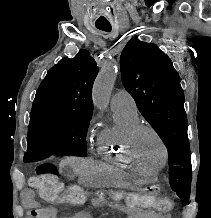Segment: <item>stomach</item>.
Wrapping results in <instances>:
<instances>
[{"mask_svg":"<svg viewBox=\"0 0 211 218\" xmlns=\"http://www.w3.org/2000/svg\"><path fill=\"white\" fill-rule=\"evenodd\" d=\"M81 182L88 187H120L139 192H146L148 185L157 182L155 178H143L136 175L118 174H87L81 176Z\"/></svg>","mask_w":211,"mask_h":218,"instance_id":"stomach-1","label":"stomach"}]
</instances>
